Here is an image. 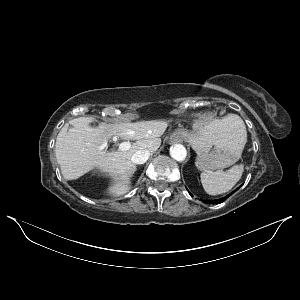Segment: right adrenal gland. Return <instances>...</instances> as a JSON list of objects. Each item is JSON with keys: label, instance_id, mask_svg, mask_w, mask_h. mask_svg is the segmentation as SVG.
<instances>
[{"label": "right adrenal gland", "instance_id": "2a0ac1e0", "mask_svg": "<svg viewBox=\"0 0 300 300\" xmlns=\"http://www.w3.org/2000/svg\"><path fill=\"white\" fill-rule=\"evenodd\" d=\"M135 170H136V168L133 169L132 173H134Z\"/></svg>", "mask_w": 300, "mask_h": 300}]
</instances>
